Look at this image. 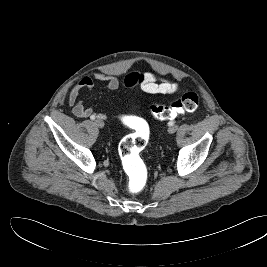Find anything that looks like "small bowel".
<instances>
[{"label":"small bowel","instance_id":"small-bowel-1","mask_svg":"<svg viewBox=\"0 0 267 267\" xmlns=\"http://www.w3.org/2000/svg\"><path fill=\"white\" fill-rule=\"evenodd\" d=\"M96 79L105 84L108 91H116L120 87V80L114 75L98 74ZM161 80V82H158ZM95 86V81L88 77H82L71 89L68 96V104L72 107V113L79 118H89L95 115L99 119H104V113H97L92 108L84 105L79 99L82 91H91ZM124 86L127 89L141 88L143 91L153 94H172L178 89V84L174 81L163 79L151 72H133L125 77Z\"/></svg>","mask_w":267,"mask_h":267}]
</instances>
